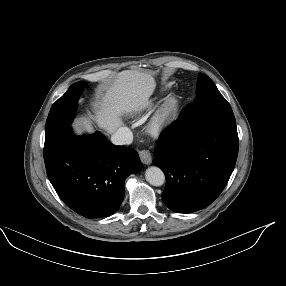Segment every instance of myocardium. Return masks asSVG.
<instances>
[{"label":"myocardium","instance_id":"myocardium-1","mask_svg":"<svg viewBox=\"0 0 286 286\" xmlns=\"http://www.w3.org/2000/svg\"><path fill=\"white\" fill-rule=\"evenodd\" d=\"M177 105V96L171 95L167 97L152 117L150 126L152 128H159L173 114Z\"/></svg>","mask_w":286,"mask_h":286}]
</instances>
